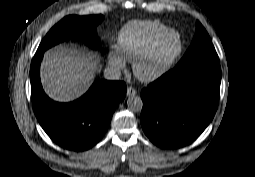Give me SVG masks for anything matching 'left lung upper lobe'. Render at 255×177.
Segmentation results:
<instances>
[{
    "label": "left lung upper lobe",
    "mask_w": 255,
    "mask_h": 177,
    "mask_svg": "<svg viewBox=\"0 0 255 177\" xmlns=\"http://www.w3.org/2000/svg\"><path fill=\"white\" fill-rule=\"evenodd\" d=\"M201 58H218V56L208 33L204 27L199 22H197L196 33L193 41L177 65Z\"/></svg>",
    "instance_id": "5c2ea615"
}]
</instances>
